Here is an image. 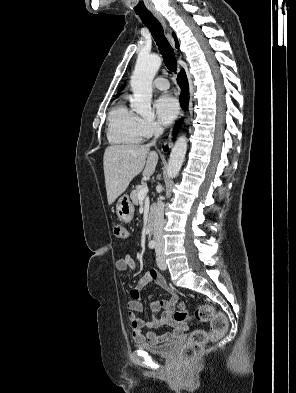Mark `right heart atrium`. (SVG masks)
<instances>
[{
  "label": "right heart atrium",
  "mask_w": 296,
  "mask_h": 393,
  "mask_svg": "<svg viewBox=\"0 0 296 393\" xmlns=\"http://www.w3.org/2000/svg\"><path fill=\"white\" fill-rule=\"evenodd\" d=\"M161 126L154 120H142L141 131L143 138H151L161 132Z\"/></svg>",
  "instance_id": "1"
}]
</instances>
